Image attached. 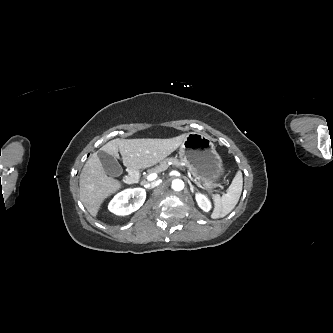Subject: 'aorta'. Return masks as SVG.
<instances>
[{"instance_id":"aorta-1","label":"aorta","mask_w":333,"mask_h":333,"mask_svg":"<svg viewBox=\"0 0 333 333\" xmlns=\"http://www.w3.org/2000/svg\"><path fill=\"white\" fill-rule=\"evenodd\" d=\"M172 188L175 191H181L184 188V182L180 179H175L172 181Z\"/></svg>"}]
</instances>
